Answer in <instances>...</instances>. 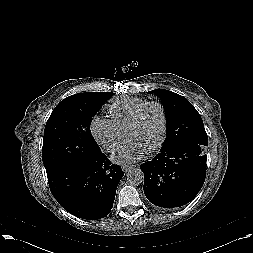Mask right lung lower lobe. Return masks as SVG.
Segmentation results:
<instances>
[{
    "label": "right lung lower lobe",
    "instance_id": "obj_1",
    "mask_svg": "<svg viewBox=\"0 0 253 253\" xmlns=\"http://www.w3.org/2000/svg\"><path fill=\"white\" fill-rule=\"evenodd\" d=\"M50 190L72 215L88 220L105 217L112 209L124 173L101 151L89 160L46 171Z\"/></svg>",
    "mask_w": 253,
    "mask_h": 253
}]
</instances>
